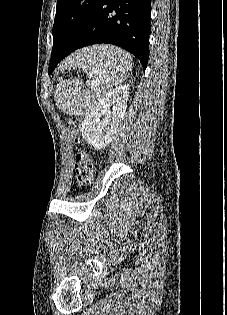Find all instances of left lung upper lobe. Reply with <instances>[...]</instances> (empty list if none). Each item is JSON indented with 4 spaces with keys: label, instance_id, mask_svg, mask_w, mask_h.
I'll return each mask as SVG.
<instances>
[{
    "label": "left lung upper lobe",
    "instance_id": "obj_1",
    "mask_svg": "<svg viewBox=\"0 0 227 315\" xmlns=\"http://www.w3.org/2000/svg\"><path fill=\"white\" fill-rule=\"evenodd\" d=\"M102 0H58L53 25V50L62 51L91 19Z\"/></svg>",
    "mask_w": 227,
    "mask_h": 315
}]
</instances>
